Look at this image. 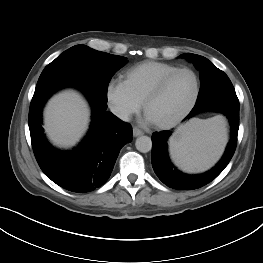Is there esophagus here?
Segmentation results:
<instances>
[{
    "instance_id": "obj_1",
    "label": "esophagus",
    "mask_w": 263,
    "mask_h": 263,
    "mask_svg": "<svg viewBox=\"0 0 263 263\" xmlns=\"http://www.w3.org/2000/svg\"><path fill=\"white\" fill-rule=\"evenodd\" d=\"M142 134H143V132L139 128L133 127V136L134 137H138V136H140Z\"/></svg>"
}]
</instances>
